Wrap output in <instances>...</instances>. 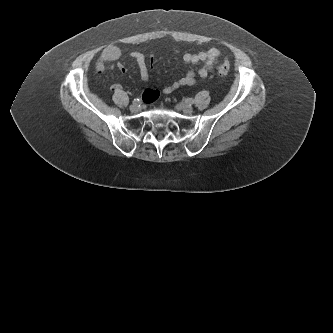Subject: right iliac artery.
Returning a JSON list of instances; mask_svg holds the SVG:
<instances>
[{"instance_id":"right-iliac-artery-1","label":"right iliac artery","mask_w":333,"mask_h":333,"mask_svg":"<svg viewBox=\"0 0 333 333\" xmlns=\"http://www.w3.org/2000/svg\"><path fill=\"white\" fill-rule=\"evenodd\" d=\"M134 103H140V99H138V98H136V99H134V101H133Z\"/></svg>"}]
</instances>
